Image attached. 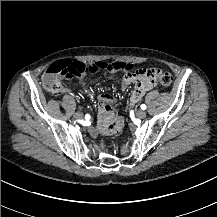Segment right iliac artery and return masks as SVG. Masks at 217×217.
Segmentation results:
<instances>
[{
    "instance_id": "right-iliac-artery-1",
    "label": "right iliac artery",
    "mask_w": 217,
    "mask_h": 217,
    "mask_svg": "<svg viewBox=\"0 0 217 217\" xmlns=\"http://www.w3.org/2000/svg\"><path fill=\"white\" fill-rule=\"evenodd\" d=\"M85 119H86L87 121H90V120L92 119L91 114H89V113L86 114Z\"/></svg>"
}]
</instances>
